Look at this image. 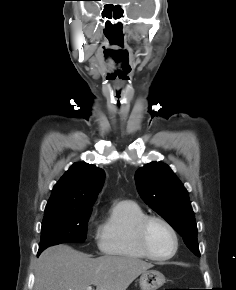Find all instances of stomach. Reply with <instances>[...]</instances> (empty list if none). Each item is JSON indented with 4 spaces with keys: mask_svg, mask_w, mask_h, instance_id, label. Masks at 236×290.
<instances>
[{
    "mask_svg": "<svg viewBox=\"0 0 236 290\" xmlns=\"http://www.w3.org/2000/svg\"><path fill=\"white\" fill-rule=\"evenodd\" d=\"M165 281V276L156 270L144 271L139 278L141 290H157Z\"/></svg>",
    "mask_w": 236,
    "mask_h": 290,
    "instance_id": "0dacf381",
    "label": "stomach"
}]
</instances>
